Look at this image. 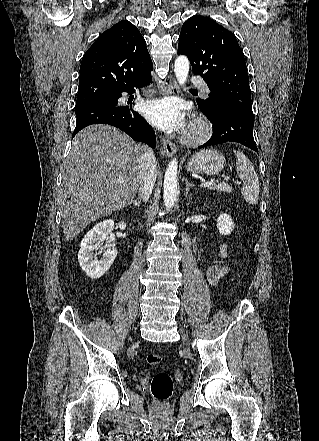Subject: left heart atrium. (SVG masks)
I'll return each instance as SVG.
<instances>
[{"instance_id": "obj_1", "label": "left heart atrium", "mask_w": 319, "mask_h": 441, "mask_svg": "<svg viewBox=\"0 0 319 441\" xmlns=\"http://www.w3.org/2000/svg\"><path fill=\"white\" fill-rule=\"evenodd\" d=\"M145 117L157 127L167 130H179L183 124V118L178 105L169 99L150 100L142 105Z\"/></svg>"}]
</instances>
